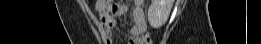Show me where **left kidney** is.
Wrapping results in <instances>:
<instances>
[{"instance_id":"obj_1","label":"left kidney","mask_w":261,"mask_h":44,"mask_svg":"<svg viewBox=\"0 0 261 44\" xmlns=\"http://www.w3.org/2000/svg\"><path fill=\"white\" fill-rule=\"evenodd\" d=\"M173 0H152L148 8V21L151 27L160 28L164 25L169 17Z\"/></svg>"}]
</instances>
